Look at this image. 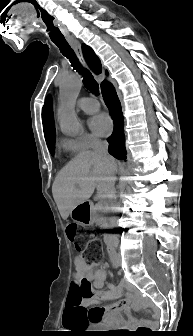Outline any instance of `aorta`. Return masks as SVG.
Masks as SVG:
<instances>
[{"mask_svg":"<svg viewBox=\"0 0 193 336\" xmlns=\"http://www.w3.org/2000/svg\"><path fill=\"white\" fill-rule=\"evenodd\" d=\"M81 87L82 81L77 75L65 78L60 84L58 120L61 131L69 136L78 135L81 129L74 109Z\"/></svg>","mask_w":193,"mask_h":336,"instance_id":"1","label":"aorta"}]
</instances>
